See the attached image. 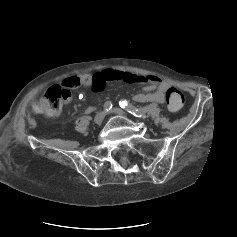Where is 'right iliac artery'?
<instances>
[{"label": "right iliac artery", "mask_w": 237, "mask_h": 237, "mask_svg": "<svg viewBox=\"0 0 237 237\" xmlns=\"http://www.w3.org/2000/svg\"><path fill=\"white\" fill-rule=\"evenodd\" d=\"M111 108H112V103H111V101L105 102V104H104V106H103L104 112H108Z\"/></svg>", "instance_id": "obj_1"}]
</instances>
